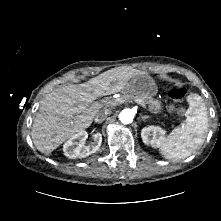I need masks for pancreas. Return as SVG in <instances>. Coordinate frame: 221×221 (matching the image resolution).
<instances>
[{
    "label": "pancreas",
    "instance_id": "pancreas-1",
    "mask_svg": "<svg viewBox=\"0 0 221 221\" xmlns=\"http://www.w3.org/2000/svg\"><path fill=\"white\" fill-rule=\"evenodd\" d=\"M126 100L131 99H140L144 104L148 105L149 111L152 113H158L161 110V102L157 99L152 98L149 95H137L134 96L132 94L124 95Z\"/></svg>",
    "mask_w": 221,
    "mask_h": 221
}]
</instances>
